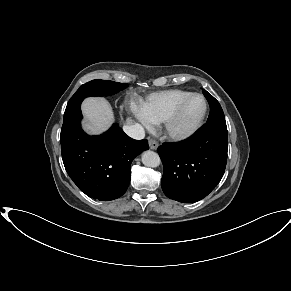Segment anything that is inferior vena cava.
Instances as JSON below:
<instances>
[{
    "label": "inferior vena cava",
    "instance_id": "1",
    "mask_svg": "<svg viewBox=\"0 0 291 291\" xmlns=\"http://www.w3.org/2000/svg\"><path fill=\"white\" fill-rule=\"evenodd\" d=\"M123 129L128 136L136 140H141L145 136L144 128L140 124L126 125Z\"/></svg>",
    "mask_w": 291,
    "mask_h": 291
}]
</instances>
